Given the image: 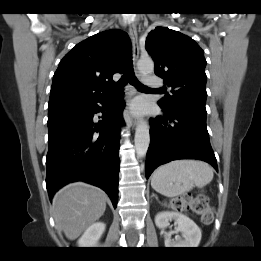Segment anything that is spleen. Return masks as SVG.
Returning a JSON list of instances; mask_svg holds the SVG:
<instances>
[{"label":"spleen","mask_w":261,"mask_h":261,"mask_svg":"<svg viewBox=\"0 0 261 261\" xmlns=\"http://www.w3.org/2000/svg\"><path fill=\"white\" fill-rule=\"evenodd\" d=\"M212 179L213 169L209 164L198 160H175L155 170L151 186L166 197H176L195 186H206Z\"/></svg>","instance_id":"1"}]
</instances>
